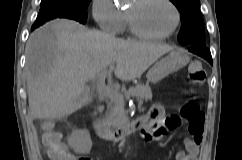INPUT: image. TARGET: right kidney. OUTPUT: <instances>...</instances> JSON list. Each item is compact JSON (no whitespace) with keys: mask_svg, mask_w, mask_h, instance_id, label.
<instances>
[{"mask_svg":"<svg viewBox=\"0 0 242 160\" xmlns=\"http://www.w3.org/2000/svg\"><path fill=\"white\" fill-rule=\"evenodd\" d=\"M68 144L75 153H89L92 148L90 133L86 129L73 131L68 137Z\"/></svg>","mask_w":242,"mask_h":160,"instance_id":"obj_1","label":"right kidney"}]
</instances>
